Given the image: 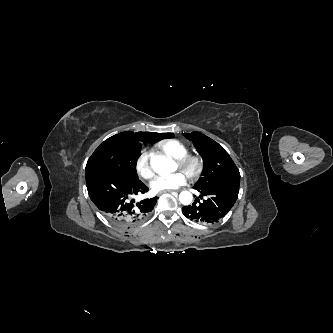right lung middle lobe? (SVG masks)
I'll list each match as a JSON object with an SVG mask.
<instances>
[{
    "label": "right lung middle lobe",
    "mask_w": 333,
    "mask_h": 333,
    "mask_svg": "<svg viewBox=\"0 0 333 333\" xmlns=\"http://www.w3.org/2000/svg\"><path fill=\"white\" fill-rule=\"evenodd\" d=\"M158 138L174 137L173 133H157ZM139 152H134L129 148V143L125 140L123 133L114 135L94 151L87 161L86 171L91 169L109 170L133 180H139L136 172Z\"/></svg>",
    "instance_id": "1"
}]
</instances>
